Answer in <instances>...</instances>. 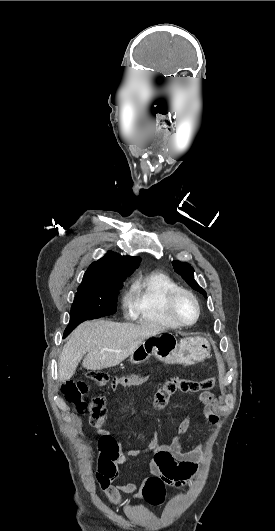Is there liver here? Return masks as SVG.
I'll use <instances>...</instances> for the list:
<instances>
[{
    "mask_svg": "<svg viewBox=\"0 0 275 531\" xmlns=\"http://www.w3.org/2000/svg\"><path fill=\"white\" fill-rule=\"evenodd\" d=\"M163 333V329L148 323H113L86 321L70 335L59 357V381H69L78 363L90 371L116 367L148 337ZM109 349V351H103Z\"/></svg>",
    "mask_w": 275,
    "mask_h": 531,
    "instance_id": "1",
    "label": "liver"
}]
</instances>
